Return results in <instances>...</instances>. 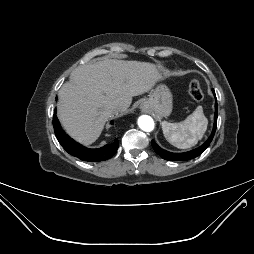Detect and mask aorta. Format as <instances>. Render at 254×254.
Here are the masks:
<instances>
[{"label": "aorta", "instance_id": "1", "mask_svg": "<svg viewBox=\"0 0 254 254\" xmlns=\"http://www.w3.org/2000/svg\"><path fill=\"white\" fill-rule=\"evenodd\" d=\"M138 125L145 132H150L154 129V121L148 115L140 116L138 118Z\"/></svg>", "mask_w": 254, "mask_h": 254}]
</instances>
